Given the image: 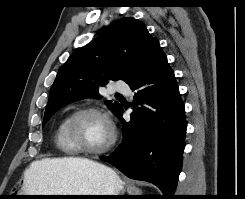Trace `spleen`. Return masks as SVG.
I'll use <instances>...</instances> for the list:
<instances>
[{
	"label": "spleen",
	"instance_id": "obj_1",
	"mask_svg": "<svg viewBox=\"0 0 245 199\" xmlns=\"http://www.w3.org/2000/svg\"><path fill=\"white\" fill-rule=\"evenodd\" d=\"M129 192L132 193L131 195H141V190L135 186L129 187Z\"/></svg>",
	"mask_w": 245,
	"mask_h": 199
}]
</instances>
